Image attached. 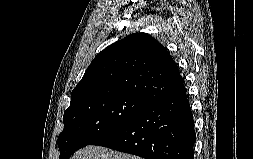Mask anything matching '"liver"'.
Returning <instances> with one entry per match:
<instances>
[{
  "instance_id": "1",
  "label": "liver",
  "mask_w": 253,
  "mask_h": 159,
  "mask_svg": "<svg viewBox=\"0 0 253 159\" xmlns=\"http://www.w3.org/2000/svg\"><path fill=\"white\" fill-rule=\"evenodd\" d=\"M71 159H142L138 156L114 151L105 147L88 145L74 154Z\"/></svg>"
}]
</instances>
